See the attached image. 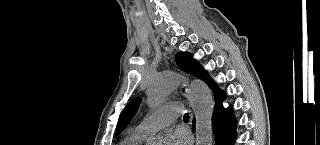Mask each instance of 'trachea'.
Returning <instances> with one entry per match:
<instances>
[{
	"label": "trachea",
	"instance_id": "1",
	"mask_svg": "<svg viewBox=\"0 0 320 145\" xmlns=\"http://www.w3.org/2000/svg\"><path fill=\"white\" fill-rule=\"evenodd\" d=\"M184 120H189V114L188 113H185Z\"/></svg>",
	"mask_w": 320,
	"mask_h": 145
}]
</instances>
